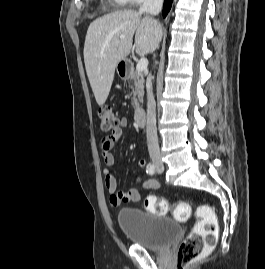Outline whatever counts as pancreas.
Instances as JSON below:
<instances>
[{
  "label": "pancreas",
  "instance_id": "1",
  "mask_svg": "<svg viewBox=\"0 0 265 269\" xmlns=\"http://www.w3.org/2000/svg\"><path fill=\"white\" fill-rule=\"evenodd\" d=\"M130 82L131 83V94L132 97V106L135 110H138L140 107V102H143L144 96V75L138 71L132 70L130 74Z\"/></svg>",
  "mask_w": 265,
  "mask_h": 269
}]
</instances>
